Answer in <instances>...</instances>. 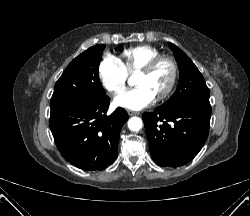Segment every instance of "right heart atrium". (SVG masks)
<instances>
[{"instance_id":"right-heart-atrium-1","label":"right heart atrium","mask_w":250,"mask_h":216,"mask_svg":"<svg viewBox=\"0 0 250 216\" xmlns=\"http://www.w3.org/2000/svg\"><path fill=\"white\" fill-rule=\"evenodd\" d=\"M99 75L106 90L119 93L124 90L128 81V72L119 59L105 57L99 66Z\"/></svg>"}]
</instances>
